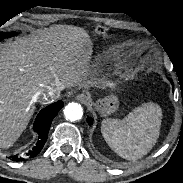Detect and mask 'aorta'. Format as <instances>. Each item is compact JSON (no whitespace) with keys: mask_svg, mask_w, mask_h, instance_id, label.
Segmentation results:
<instances>
[{"mask_svg":"<svg viewBox=\"0 0 183 183\" xmlns=\"http://www.w3.org/2000/svg\"><path fill=\"white\" fill-rule=\"evenodd\" d=\"M64 115L67 120L76 121L82 118L83 109L80 104L72 102L64 108Z\"/></svg>","mask_w":183,"mask_h":183,"instance_id":"obj_1","label":"aorta"}]
</instances>
